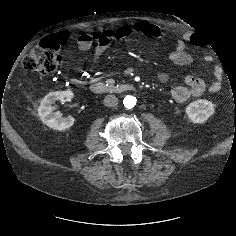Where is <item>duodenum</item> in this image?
<instances>
[{
	"label": "duodenum",
	"instance_id": "obj_1",
	"mask_svg": "<svg viewBox=\"0 0 236 236\" xmlns=\"http://www.w3.org/2000/svg\"><path fill=\"white\" fill-rule=\"evenodd\" d=\"M135 87L128 83H119L113 86H108L103 82H94L90 85V90L94 94H105L109 92L124 93L133 91Z\"/></svg>",
	"mask_w": 236,
	"mask_h": 236
}]
</instances>
